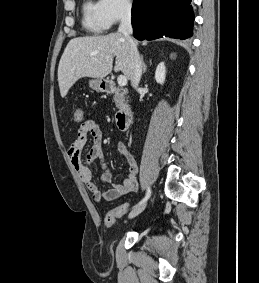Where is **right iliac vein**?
Returning <instances> with one entry per match:
<instances>
[{
	"instance_id": "right-iliac-vein-1",
	"label": "right iliac vein",
	"mask_w": 259,
	"mask_h": 283,
	"mask_svg": "<svg viewBox=\"0 0 259 283\" xmlns=\"http://www.w3.org/2000/svg\"><path fill=\"white\" fill-rule=\"evenodd\" d=\"M145 207H146V204H145V203H143V204H141V205L135 207V208L129 213L128 218H129V219H132V218L136 217L137 215H139V214L145 209Z\"/></svg>"
}]
</instances>
